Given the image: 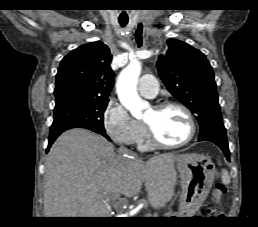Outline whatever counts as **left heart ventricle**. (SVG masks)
<instances>
[{"instance_id": "left-heart-ventricle-1", "label": "left heart ventricle", "mask_w": 258, "mask_h": 227, "mask_svg": "<svg viewBox=\"0 0 258 227\" xmlns=\"http://www.w3.org/2000/svg\"><path fill=\"white\" fill-rule=\"evenodd\" d=\"M144 121L149 123L158 137L167 143H178L184 140L190 132L186 115L174 107L161 111L151 108L146 113Z\"/></svg>"}]
</instances>
